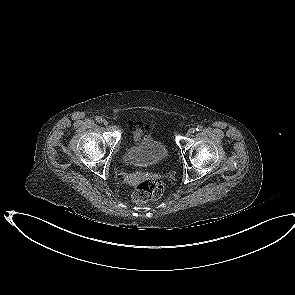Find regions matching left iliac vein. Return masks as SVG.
I'll return each mask as SVG.
<instances>
[{
  "mask_svg": "<svg viewBox=\"0 0 295 295\" xmlns=\"http://www.w3.org/2000/svg\"><path fill=\"white\" fill-rule=\"evenodd\" d=\"M195 132V129L194 128H190L187 132V135L190 136L192 135L193 133Z\"/></svg>",
  "mask_w": 295,
  "mask_h": 295,
  "instance_id": "4c4485c4",
  "label": "left iliac vein"
}]
</instances>
